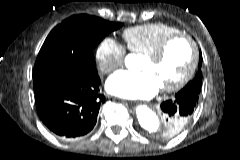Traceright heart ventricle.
I'll return each mask as SVG.
<instances>
[{
    "mask_svg": "<svg viewBox=\"0 0 240 160\" xmlns=\"http://www.w3.org/2000/svg\"><path fill=\"white\" fill-rule=\"evenodd\" d=\"M178 32V28L165 23H148L126 29L123 38L130 52L144 56L154 51L164 38Z\"/></svg>",
    "mask_w": 240,
    "mask_h": 160,
    "instance_id": "right-heart-ventricle-1",
    "label": "right heart ventricle"
}]
</instances>
